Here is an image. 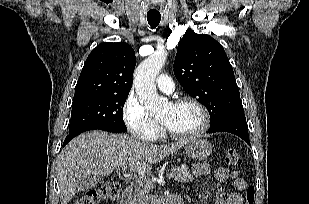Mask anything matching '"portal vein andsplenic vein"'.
<instances>
[{
    "mask_svg": "<svg viewBox=\"0 0 309 204\" xmlns=\"http://www.w3.org/2000/svg\"><path fill=\"white\" fill-rule=\"evenodd\" d=\"M123 168L127 167L126 165H122ZM166 176L171 178V173H166ZM139 183H142L145 179L143 177L136 178Z\"/></svg>",
    "mask_w": 309,
    "mask_h": 204,
    "instance_id": "portal-vein-and-splenic-vein-1",
    "label": "portal vein and splenic vein"
}]
</instances>
